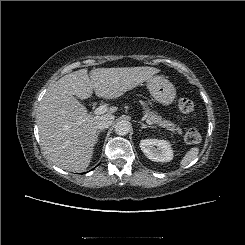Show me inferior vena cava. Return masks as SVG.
<instances>
[{
    "mask_svg": "<svg viewBox=\"0 0 245 245\" xmlns=\"http://www.w3.org/2000/svg\"><path fill=\"white\" fill-rule=\"evenodd\" d=\"M114 116L112 114H105L99 117L98 119V129H106L109 128L113 121H114Z\"/></svg>",
    "mask_w": 245,
    "mask_h": 245,
    "instance_id": "inferior-vena-cava-1",
    "label": "inferior vena cava"
}]
</instances>
